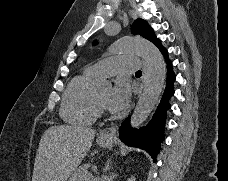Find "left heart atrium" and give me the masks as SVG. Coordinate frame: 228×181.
Listing matches in <instances>:
<instances>
[{
    "label": "left heart atrium",
    "instance_id": "39dd6f15",
    "mask_svg": "<svg viewBox=\"0 0 228 181\" xmlns=\"http://www.w3.org/2000/svg\"><path fill=\"white\" fill-rule=\"evenodd\" d=\"M130 92V86L126 81H119L112 91L107 100V106L114 112L121 111L127 102Z\"/></svg>",
    "mask_w": 228,
    "mask_h": 181
}]
</instances>
